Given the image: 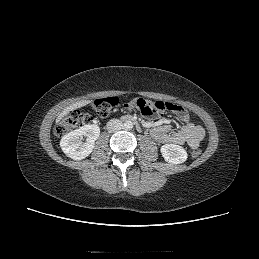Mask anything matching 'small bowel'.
I'll return each instance as SVG.
<instances>
[{
    "mask_svg": "<svg viewBox=\"0 0 259 259\" xmlns=\"http://www.w3.org/2000/svg\"><path fill=\"white\" fill-rule=\"evenodd\" d=\"M182 122L180 130L171 131L169 125H155L151 129V136L160 144L172 143L182 145L187 143L195 149L200 146L205 138L204 128L191 120L188 112L181 106L176 105L172 110Z\"/></svg>",
    "mask_w": 259,
    "mask_h": 259,
    "instance_id": "1",
    "label": "small bowel"
}]
</instances>
